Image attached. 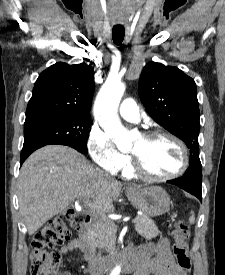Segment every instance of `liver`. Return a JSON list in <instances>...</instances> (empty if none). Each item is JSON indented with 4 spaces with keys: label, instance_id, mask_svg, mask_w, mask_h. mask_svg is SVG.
I'll return each instance as SVG.
<instances>
[{
    "label": "liver",
    "instance_id": "1",
    "mask_svg": "<svg viewBox=\"0 0 225 275\" xmlns=\"http://www.w3.org/2000/svg\"><path fill=\"white\" fill-rule=\"evenodd\" d=\"M122 184L94 167L79 152L63 145L35 151L22 165L18 179L20 213L29 235L75 199H92L97 210L111 212Z\"/></svg>",
    "mask_w": 225,
    "mask_h": 275
}]
</instances>
